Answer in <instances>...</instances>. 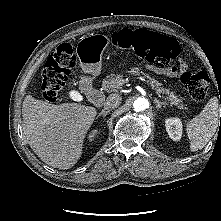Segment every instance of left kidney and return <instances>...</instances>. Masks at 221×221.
<instances>
[{"instance_id":"obj_1","label":"left kidney","mask_w":221,"mask_h":221,"mask_svg":"<svg viewBox=\"0 0 221 221\" xmlns=\"http://www.w3.org/2000/svg\"><path fill=\"white\" fill-rule=\"evenodd\" d=\"M166 130L171 139L179 141L182 137L183 125L180 118L173 117L165 120Z\"/></svg>"}]
</instances>
